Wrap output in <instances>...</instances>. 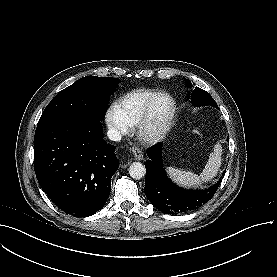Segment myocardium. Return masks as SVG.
Listing matches in <instances>:
<instances>
[{
    "label": "myocardium",
    "instance_id": "myocardium-1",
    "mask_svg": "<svg viewBox=\"0 0 277 277\" xmlns=\"http://www.w3.org/2000/svg\"><path fill=\"white\" fill-rule=\"evenodd\" d=\"M160 97L165 98L170 103V110L164 120L157 121L153 116V108L156 101ZM175 112L176 104L174 99L169 94L164 92L154 93L148 101L145 111L137 124V137L142 141V143L147 145L157 143L169 131L174 119Z\"/></svg>",
    "mask_w": 277,
    "mask_h": 277
}]
</instances>
